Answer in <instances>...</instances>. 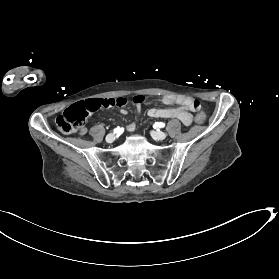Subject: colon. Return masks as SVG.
I'll return each mask as SVG.
<instances>
[{"label": "colon", "mask_w": 279, "mask_h": 279, "mask_svg": "<svg viewBox=\"0 0 279 279\" xmlns=\"http://www.w3.org/2000/svg\"><path fill=\"white\" fill-rule=\"evenodd\" d=\"M178 99L192 111H196L195 121L198 124H203L206 120L204 112L200 111V103L197 99L187 96L178 97ZM134 102L141 104L145 97L138 95L134 97ZM127 99L124 97L107 98V99H90L84 102L75 103L69 106L56 119V125L60 131L64 133H74L82 131L84 124L89 116L100 109L101 107H119L127 104Z\"/></svg>", "instance_id": "colon-1"}]
</instances>
